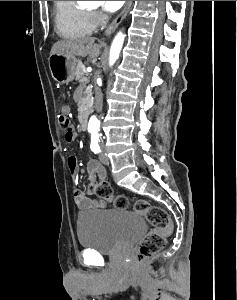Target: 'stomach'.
<instances>
[{"mask_svg":"<svg viewBox=\"0 0 237 300\" xmlns=\"http://www.w3.org/2000/svg\"><path fill=\"white\" fill-rule=\"evenodd\" d=\"M49 69L54 81L57 83H71L74 79L76 59L74 55H50Z\"/></svg>","mask_w":237,"mask_h":300,"instance_id":"stomach-1","label":"stomach"}]
</instances>
